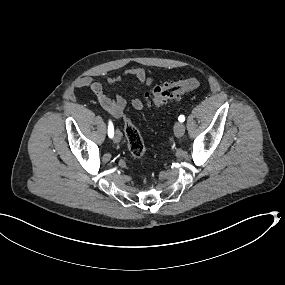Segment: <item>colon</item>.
<instances>
[{
	"mask_svg": "<svg viewBox=\"0 0 285 285\" xmlns=\"http://www.w3.org/2000/svg\"><path fill=\"white\" fill-rule=\"evenodd\" d=\"M200 84L197 78L191 77L157 85L151 91L150 104L161 107L171 100L178 99L184 93L197 89ZM124 133L130 153L136 158L143 157L146 153L144 139L139 129L127 117L124 118Z\"/></svg>",
	"mask_w": 285,
	"mask_h": 285,
	"instance_id": "5ec220e1",
	"label": "colon"
}]
</instances>
